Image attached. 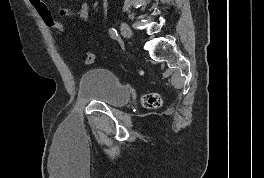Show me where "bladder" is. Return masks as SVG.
<instances>
[{"label":"bladder","mask_w":264,"mask_h":178,"mask_svg":"<svg viewBox=\"0 0 264 178\" xmlns=\"http://www.w3.org/2000/svg\"><path fill=\"white\" fill-rule=\"evenodd\" d=\"M78 95L82 100L100 101L114 107L124 106L130 99L128 87L105 68L84 72L79 80Z\"/></svg>","instance_id":"bladder-1"}]
</instances>
